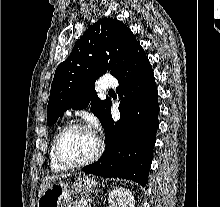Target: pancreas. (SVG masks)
<instances>
[{
	"mask_svg": "<svg viewBox=\"0 0 220 207\" xmlns=\"http://www.w3.org/2000/svg\"><path fill=\"white\" fill-rule=\"evenodd\" d=\"M69 207H90V206L88 205L85 198H81L80 200L73 202L72 205Z\"/></svg>",
	"mask_w": 220,
	"mask_h": 207,
	"instance_id": "cf45deb5",
	"label": "pancreas"
}]
</instances>
